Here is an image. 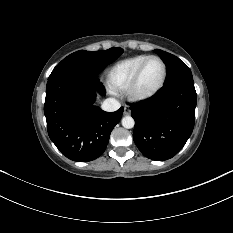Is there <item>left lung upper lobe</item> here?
<instances>
[{
	"mask_svg": "<svg viewBox=\"0 0 233 233\" xmlns=\"http://www.w3.org/2000/svg\"><path fill=\"white\" fill-rule=\"evenodd\" d=\"M155 52L167 65L168 77L165 86L178 81H193L190 69L179 58L159 49H155Z\"/></svg>",
	"mask_w": 233,
	"mask_h": 233,
	"instance_id": "1",
	"label": "left lung upper lobe"
}]
</instances>
